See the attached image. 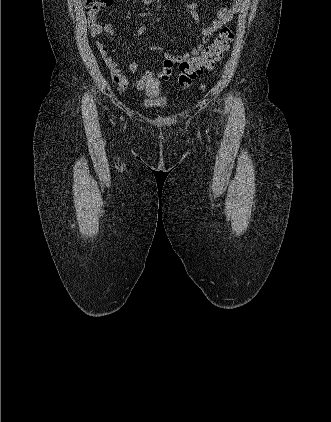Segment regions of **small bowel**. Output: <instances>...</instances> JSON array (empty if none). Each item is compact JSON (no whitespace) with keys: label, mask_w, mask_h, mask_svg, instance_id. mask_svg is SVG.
I'll return each instance as SVG.
<instances>
[{"label":"small bowel","mask_w":331,"mask_h":422,"mask_svg":"<svg viewBox=\"0 0 331 422\" xmlns=\"http://www.w3.org/2000/svg\"><path fill=\"white\" fill-rule=\"evenodd\" d=\"M144 5L151 6L154 0H140ZM243 0H229V4L226 7H222L218 13L216 19L209 25L201 27V41L195 45L190 51L184 52L178 55H172L164 51L163 47L149 44L147 47L150 50H159L163 51V61L162 68L157 73V79L162 81H167L172 74L173 68L177 64H181L186 60L199 57L205 51L206 42L211 39L214 34L224 27L228 22L232 20L234 15L241 9ZM186 10L191 15L193 20L200 24L201 16L199 5L197 2L188 1L185 4ZM90 33L93 38L98 37L101 33L107 35H113L115 32L114 26L112 23H106L102 25L97 18L90 20ZM148 31L147 26H141L136 33L137 40L142 43V35ZM96 47L100 53L101 58L108 67L110 74L113 80L122 88L127 89L130 86L129 80L127 78V72H135L137 70V64L134 61H123L121 59H114L110 56L109 51L106 45L102 41L96 42ZM134 88L138 91L144 90V83L139 79V81L134 85Z\"/></svg>","instance_id":"small-bowel-1"}]
</instances>
